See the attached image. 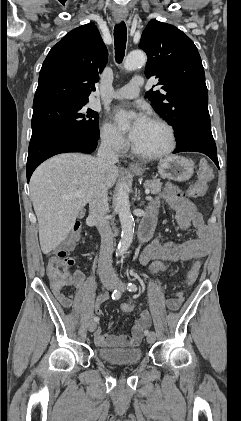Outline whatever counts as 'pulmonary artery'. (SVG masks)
<instances>
[{
    "instance_id": "pulmonary-artery-1",
    "label": "pulmonary artery",
    "mask_w": 241,
    "mask_h": 421,
    "mask_svg": "<svg viewBox=\"0 0 241 421\" xmlns=\"http://www.w3.org/2000/svg\"><path fill=\"white\" fill-rule=\"evenodd\" d=\"M142 78L134 77L127 85L113 92L110 97L114 99H133L139 95Z\"/></svg>"
}]
</instances>
